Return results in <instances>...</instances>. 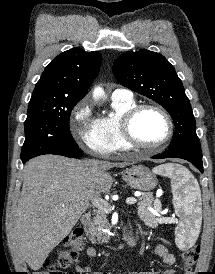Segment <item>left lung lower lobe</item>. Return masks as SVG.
<instances>
[{
    "label": "left lung lower lobe",
    "mask_w": 215,
    "mask_h": 274,
    "mask_svg": "<svg viewBox=\"0 0 215 274\" xmlns=\"http://www.w3.org/2000/svg\"><path fill=\"white\" fill-rule=\"evenodd\" d=\"M154 159H164V158H182L191 162L196 168L203 173V163H202V155L200 154H190L179 151L168 150L162 154H157L153 156Z\"/></svg>",
    "instance_id": "0a47b994"
}]
</instances>
